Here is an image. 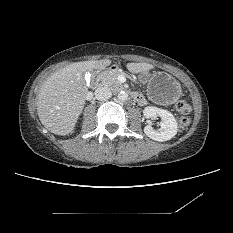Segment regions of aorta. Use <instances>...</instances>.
<instances>
[{
  "mask_svg": "<svg viewBox=\"0 0 233 233\" xmlns=\"http://www.w3.org/2000/svg\"><path fill=\"white\" fill-rule=\"evenodd\" d=\"M118 100L119 101H122V102H124V101H127V99H128V94L126 93V92H124V91H121V92H119V94H118Z\"/></svg>",
  "mask_w": 233,
  "mask_h": 233,
  "instance_id": "aorta-1",
  "label": "aorta"
}]
</instances>
